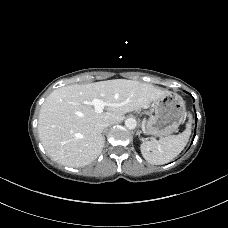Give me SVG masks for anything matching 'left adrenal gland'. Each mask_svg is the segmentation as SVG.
Wrapping results in <instances>:
<instances>
[{"mask_svg":"<svg viewBox=\"0 0 228 228\" xmlns=\"http://www.w3.org/2000/svg\"><path fill=\"white\" fill-rule=\"evenodd\" d=\"M136 135H138V137H140V132L138 131V132L136 133Z\"/></svg>","mask_w":228,"mask_h":228,"instance_id":"1","label":"left adrenal gland"}]
</instances>
